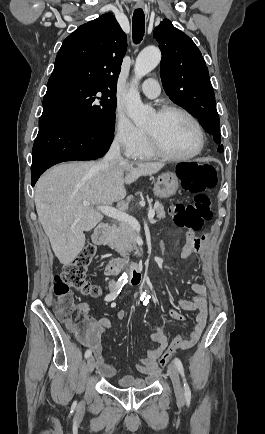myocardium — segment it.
<instances>
[{
	"instance_id": "f54148a6",
	"label": "myocardium",
	"mask_w": 265,
	"mask_h": 434,
	"mask_svg": "<svg viewBox=\"0 0 265 434\" xmlns=\"http://www.w3.org/2000/svg\"><path fill=\"white\" fill-rule=\"evenodd\" d=\"M170 112H180V113L184 114L191 121V123L194 125L196 132H197V137H198L197 146L192 152H190L188 154L175 155V154H172V153L168 152L167 150H165L158 143L154 133L150 132L149 130H146L151 150L153 151V153L156 156H158L162 159L168 160V161L179 162V161H189L191 159H194L195 157H197L198 155H200L202 153L204 146H205V134H204V129H203L201 123L189 110H187L186 108H184L180 105L163 106L162 108H160L158 110L157 115L159 117H164Z\"/></svg>"
}]
</instances>
